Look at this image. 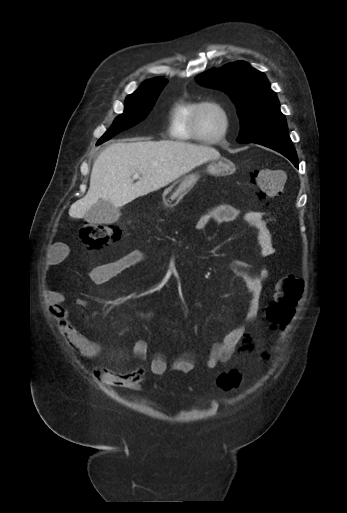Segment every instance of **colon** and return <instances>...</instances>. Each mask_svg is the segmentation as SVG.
Segmentation results:
<instances>
[{"instance_id":"1","label":"colon","mask_w":347,"mask_h":513,"mask_svg":"<svg viewBox=\"0 0 347 513\" xmlns=\"http://www.w3.org/2000/svg\"><path fill=\"white\" fill-rule=\"evenodd\" d=\"M250 180L257 188L262 201L277 198L284 186V175L281 170L261 169L250 173ZM81 240L92 249L107 248L117 243L122 236V229L118 225L99 223H84L79 232ZM304 281L296 275L282 277L276 284L273 300L267 308L266 317L272 328L282 331L294 316L303 293ZM260 356L264 360H271L275 356V349L271 345H264L260 349ZM241 383V375L237 370L222 373L217 378L218 386L229 391L237 388Z\"/></svg>"}]
</instances>
